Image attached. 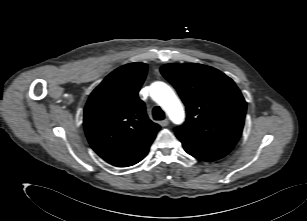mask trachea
I'll list each match as a JSON object with an SVG mask.
<instances>
[{"label":"trachea","mask_w":307,"mask_h":221,"mask_svg":"<svg viewBox=\"0 0 307 221\" xmlns=\"http://www.w3.org/2000/svg\"><path fill=\"white\" fill-rule=\"evenodd\" d=\"M152 114L155 120H163L165 118V114L159 106L153 108Z\"/></svg>","instance_id":"3493384b"}]
</instances>
